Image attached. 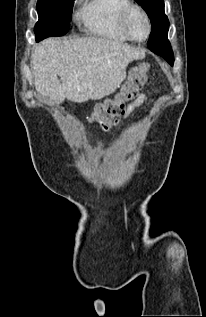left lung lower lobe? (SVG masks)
I'll use <instances>...</instances> for the list:
<instances>
[{"instance_id":"obj_1","label":"left lung lower lobe","mask_w":206,"mask_h":317,"mask_svg":"<svg viewBox=\"0 0 206 317\" xmlns=\"http://www.w3.org/2000/svg\"><path fill=\"white\" fill-rule=\"evenodd\" d=\"M148 47L155 54L174 62L172 48L168 41L148 43Z\"/></svg>"}]
</instances>
